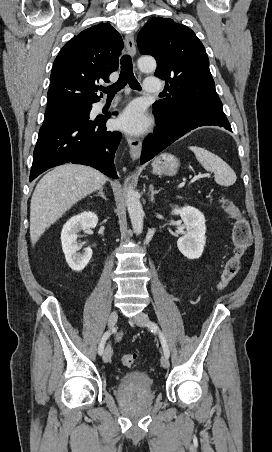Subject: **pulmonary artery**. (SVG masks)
<instances>
[{
  "instance_id": "obj_1",
  "label": "pulmonary artery",
  "mask_w": 272,
  "mask_h": 452,
  "mask_svg": "<svg viewBox=\"0 0 272 452\" xmlns=\"http://www.w3.org/2000/svg\"><path fill=\"white\" fill-rule=\"evenodd\" d=\"M162 86L158 78H146L145 79V91L147 93L155 94L159 93ZM106 105L105 102H99L96 106L97 109H102Z\"/></svg>"
}]
</instances>
